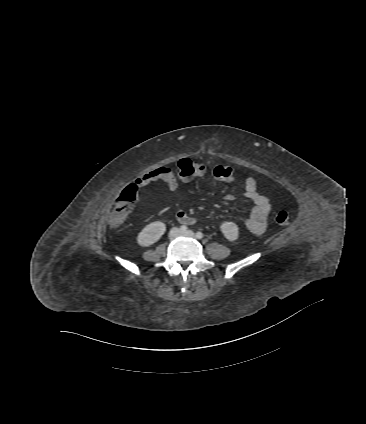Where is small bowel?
<instances>
[{
  "label": "small bowel",
  "mask_w": 366,
  "mask_h": 424,
  "mask_svg": "<svg viewBox=\"0 0 366 424\" xmlns=\"http://www.w3.org/2000/svg\"><path fill=\"white\" fill-rule=\"evenodd\" d=\"M162 180L172 192H177L178 183L173 172L166 167H160L147 172L136 179V185L145 186L152 181ZM245 197L252 201L253 207L245 222L246 229L255 235H260L266 231L267 220L271 205L269 199L257 191V182L253 177H247L244 182ZM177 194V193H176ZM227 201H232V195L225 197ZM191 224L192 222H184Z\"/></svg>",
  "instance_id": "c3829d8e"
}]
</instances>
